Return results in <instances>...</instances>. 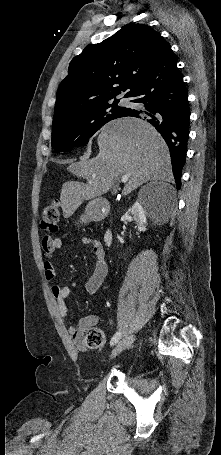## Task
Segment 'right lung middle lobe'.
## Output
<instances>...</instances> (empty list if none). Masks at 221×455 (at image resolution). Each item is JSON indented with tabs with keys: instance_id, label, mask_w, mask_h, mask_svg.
<instances>
[{
	"instance_id": "dd1d6c3e",
	"label": "right lung middle lobe",
	"mask_w": 221,
	"mask_h": 455,
	"mask_svg": "<svg viewBox=\"0 0 221 455\" xmlns=\"http://www.w3.org/2000/svg\"><path fill=\"white\" fill-rule=\"evenodd\" d=\"M119 99L99 103L78 114L53 123L52 148L57 152H69L75 146L87 144L97 130L107 122L123 117L128 108L119 107Z\"/></svg>"
}]
</instances>
